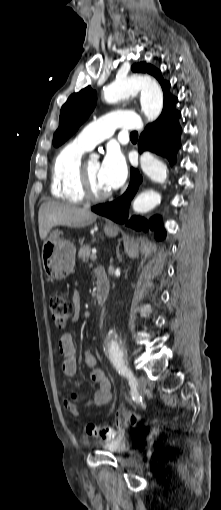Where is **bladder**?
Returning a JSON list of instances; mask_svg holds the SVG:
<instances>
[{
  "label": "bladder",
  "mask_w": 221,
  "mask_h": 510,
  "mask_svg": "<svg viewBox=\"0 0 221 510\" xmlns=\"http://www.w3.org/2000/svg\"><path fill=\"white\" fill-rule=\"evenodd\" d=\"M134 446V441L131 437L122 436L114 438L113 440L102 444V447L111 453L122 455L128 453Z\"/></svg>",
  "instance_id": "1"
}]
</instances>
